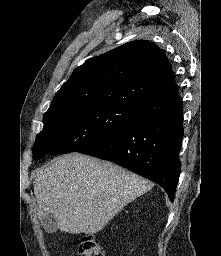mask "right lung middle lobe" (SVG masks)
Masks as SVG:
<instances>
[{
	"label": "right lung middle lobe",
	"instance_id": "obj_1",
	"mask_svg": "<svg viewBox=\"0 0 221 256\" xmlns=\"http://www.w3.org/2000/svg\"><path fill=\"white\" fill-rule=\"evenodd\" d=\"M139 119L115 104H98L45 113L44 128L37 135L33 158L47 153H69L80 150L111 131Z\"/></svg>",
	"mask_w": 221,
	"mask_h": 256
}]
</instances>
